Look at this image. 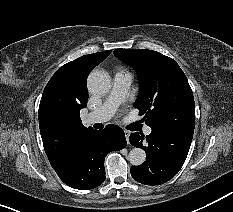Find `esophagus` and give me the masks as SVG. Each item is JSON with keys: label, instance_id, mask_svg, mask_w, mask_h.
<instances>
[{"label": "esophagus", "instance_id": "1", "mask_svg": "<svg viewBox=\"0 0 233 212\" xmlns=\"http://www.w3.org/2000/svg\"><path fill=\"white\" fill-rule=\"evenodd\" d=\"M129 136H130V133L128 131H125V137H126L128 144H129Z\"/></svg>", "mask_w": 233, "mask_h": 212}]
</instances>
